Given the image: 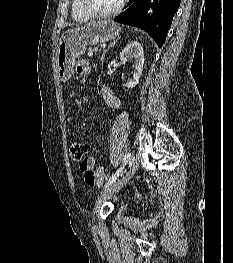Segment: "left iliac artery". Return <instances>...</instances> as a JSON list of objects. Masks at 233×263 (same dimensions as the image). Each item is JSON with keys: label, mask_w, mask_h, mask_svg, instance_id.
<instances>
[{"label": "left iliac artery", "mask_w": 233, "mask_h": 263, "mask_svg": "<svg viewBox=\"0 0 233 263\" xmlns=\"http://www.w3.org/2000/svg\"><path fill=\"white\" fill-rule=\"evenodd\" d=\"M131 157V154L130 153H127L125 156H124V159H123V164L122 166L116 171V173L114 175H112V177L108 180V182L106 183L105 185V188L109 187L110 185H112L116 180L117 178L121 175L123 169H124V166L126 165V163L129 161Z\"/></svg>", "instance_id": "obj_1"}]
</instances>
